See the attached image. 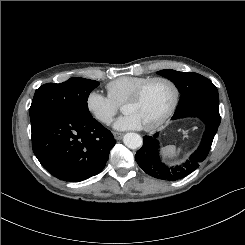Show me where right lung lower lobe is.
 <instances>
[{
    "label": "right lung lower lobe",
    "mask_w": 245,
    "mask_h": 245,
    "mask_svg": "<svg viewBox=\"0 0 245 245\" xmlns=\"http://www.w3.org/2000/svg\"><path fill=\"white\" fill-rule=\"evenodd\" d=\"M32 148L41 165L60 180L79 182L100 173L116 143L92 116L46 112L31 120Z\"/></svg>",
    "instance_id": "98d812e1"
}]
</instances>
